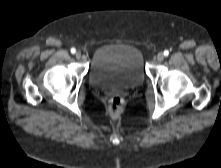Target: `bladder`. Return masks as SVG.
Segmentation results:
<instances>
[{"instance_id":"obj_1","label":"bladder","mask_w":221,"mask_h":168,"mask_svg":"<svg viewBox=\"0 0 221 168\" xmlns=\"http://www.w3.org/2000/svg\"><path fill=\"white\" fill-rule=\"evenodd\" d=\"M146 78L143 54L128 44H108L93 54L88 72L91 86L125 90L141 85Z\"/></svg>"}]
</instances>
